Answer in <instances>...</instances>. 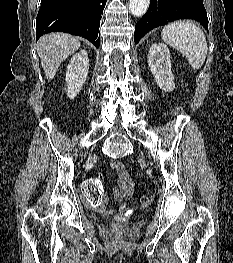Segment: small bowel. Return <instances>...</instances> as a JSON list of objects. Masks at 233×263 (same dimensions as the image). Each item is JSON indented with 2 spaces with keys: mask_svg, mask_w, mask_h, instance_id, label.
Here are the masks:
<instances>
[{
  "mask_svg": "<svg viewBox=\"0 0 233 263\" xmlns=\"http://www.w3.org/2000/svg\"><path fill=\"white\" fill-rule=\"evenodd\" d=\"M111 169L116 175V187L113 189V196L116 201L121 202L118 210L124 211L126 209V205L122 202L131 197L134 187L133 182L122 162L113 160L111 162ZM106 202L107 197L104 193H102L100 205L98 206V208L95 209L100 213L106 212Z\"/></svg>",
  "mask_w": 233,
  "mask_h": 263,
  "instance_id": "1",
  "label": "small bowel"
}]
</instances>
